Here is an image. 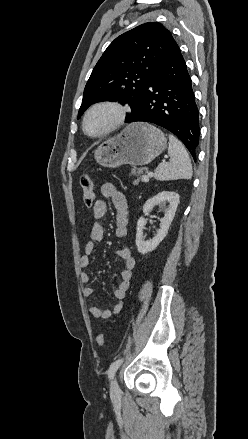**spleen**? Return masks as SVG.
<instances>
[{
  "mask_svg": "<svg viewBox=\"0 0 248 439\" xmlns=\"http://www.w3.org/2000/svg\"><path fill=\"white\" fill-rule=\"evenodd\" d=\"M169 162H163L155 170L154 177L160 181L191 179L192 165L184 145L173 135H169Z\"/></svg>",
  "mask_w": 248,
  "mask_h": 439,
  "instance_id": "3e777b00",
  "label": "spleen"
}]
</instances>
